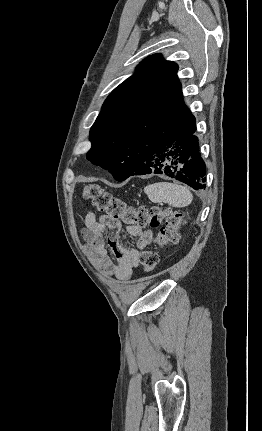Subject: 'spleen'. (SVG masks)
<instances>
[{
    "instance_id": "1",
    "label": "spleen",
    "mask_w": 262,
    "mask_h": 431,
    "mask_svg": "<svg viewBox=\"0 0 262 431\" xmlns=\"http://www.w3.org/2000/svg\"><path fill=\"white\" fill-rule=\"evenodd\" d=\"M144 192L152 202H164L179 208L188 206L193 200V195L187 187L169 182L147 185Z\"/></svg>"
}]
</instances>
